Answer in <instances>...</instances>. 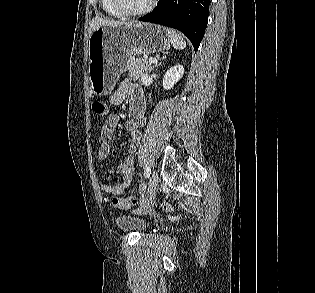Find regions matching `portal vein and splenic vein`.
Listing matches in <instances>:
<instances>
[{"instance_id":"1","label":"portal vein and splenic vein","mask_w":315,"mask_h":293,"mask_svg":"<svg viewBox=\"0 0 315 293\" xmlns=\"http://www.w3.org/2000/svg\"><path fill=\"white\" fill-rule=\"evenodd\" d=\"M148 62L152 63V64H155V63H157V60L155 58H149Z\"/></svg>"}]
</instances>
